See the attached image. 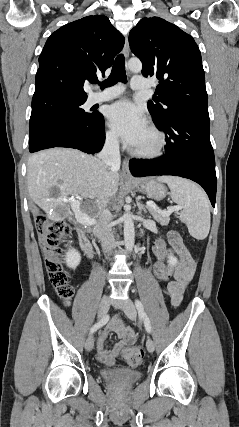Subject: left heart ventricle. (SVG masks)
<instances>
[{
  "label": "left heart ventricle",
  "mask_w": 239,
  "mask_h": 427,
  "mask_svg": "<svg viewBox=\"0 0 239 427\" xmlns=\"http://www.w3.org/2000/svg\"><path fill=\"white\" fill-rule=\"evenodd\" d=\"M154 142V135L148 128H146V130L143 132V134L140 136L139 140L133 147L138 149H148L154 145Z\"/></svg>",
  "instance_id": "1"
}]
</instances>
